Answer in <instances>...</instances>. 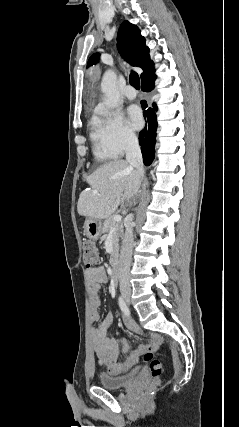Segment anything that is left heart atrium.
Here are the masks:
<instances>
[{
	"label": "left heart atrium",
	"instance_id": "obj_1",
	"mask_svg": "<svg viewBox=\"0 0 239 427\" xmlns=\"http://www.w3.org/2000/svg\"><path fill=\"white\" fill-rule=\"evenodd\" d=\"M128 123L131 128L138 130L143 125V117L140 108L137 105H131L127 109Z\"/></svg>",
	"mask_w": 239,
	"mask_h": 427
}]
</instances>
